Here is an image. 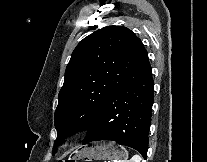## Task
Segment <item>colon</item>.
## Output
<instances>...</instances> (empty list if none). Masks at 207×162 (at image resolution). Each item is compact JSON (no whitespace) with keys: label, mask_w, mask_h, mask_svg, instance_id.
<instances>
[{"label":"colon","mask_w":207,"mask_h":162,"mask_svg":"<svg viewBox=\"0 0 207 162\" xmlns=\"http://www.w3.org/2000/svg\"><path fill=\"white\" fill-rule=\"evenodd\" d=\"M59 162H77V161L71 160V159H67V160H63V161H59Z\"/></svg>","instance_id":"5ec220e1"}]
</instances>
